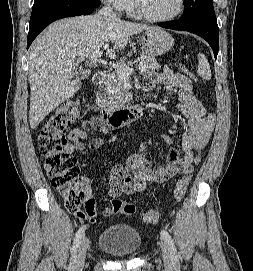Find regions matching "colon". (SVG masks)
I'll return each mask as SVG.
<instances>
[{
    "label": "colon",
    "instance_id": "1",
    "mask_svg": "<svg viewBox=\"0 0 253 271\" xmlns=\"http://www.w3.org/2000/svg\"><path fill=\"white\" fill-rule=\"evenodd\" d=\"M187 75H191L188 68H183ZM79 104L77 101H69L63 104L52 116H50L41 128L37 144L43 158L44 168L51 185L58 189L69 212L79 219L86 220L91 217L95 201L89 195L87 189L77 181L79 166L76 158L66 151V132L70 124L76 119ZM191 175H183L176 183L174 196L181 200L190 184ZM113 213L132 215L136 212V206L120 199L111 202ZM143 222L156 224L160 220L157 210H147L142 214Z\"/></svg>",
    "mask_w": 253,
    "mask_h": 271
}]
</instances>
